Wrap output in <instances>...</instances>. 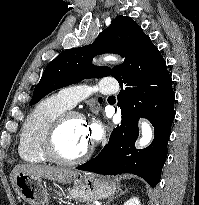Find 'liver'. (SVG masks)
Here are the masks:
<instances>
[{
    "label": "liver",
    "instance_id": "1",
    "mask_svg": "<svg viewBox=\"0 0 199 205\" xmlns=\"http://www.w3.org/2000/svg\"><path fill=\"white\" fill-rule=\"evenodd\" d=\"M19 173L29 174L42 179L53 180L55 182L62 184L73 182V180L76 179L80 174L79 171L54 166L20 164L16 165L10 174V181L13 188H15V177Z\"/></svg>",
    "mask_w": 199,
    "mask_h": 205
}]
</instances>
